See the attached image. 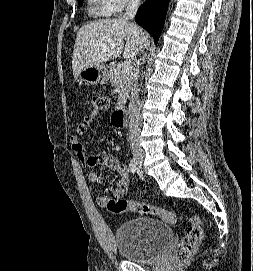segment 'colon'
Instances as JSON below:
<instances>
[{"label": "colon", "mask_w": 253, "mask_h": 271, "mask_svg": "<svg viewBox=\"0 0 253 271\" xmlns=\"http://www.w3.org/2000/svg\"><path fill=\"white\" fill-rule=\"evenodd\" d=\"M91 103L94 111L100 112L106 108L107 99L103 95L93 94L91 96ZM104 207L113 214H122L129 211L138 214L152 215L168 224H175L179 219L178 215L174 212L122 198L111 199L105 203ZM189 222L190 225L186 229L175 251V258L179 261H185L191 257L203 238V229L200 219L197 216H191Z\"/></svg>", "instance_id": "5ec220e1"}]
</instances>
